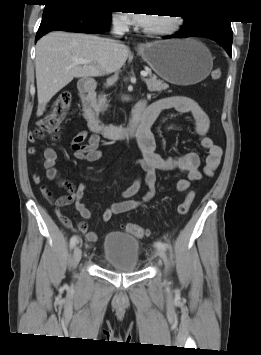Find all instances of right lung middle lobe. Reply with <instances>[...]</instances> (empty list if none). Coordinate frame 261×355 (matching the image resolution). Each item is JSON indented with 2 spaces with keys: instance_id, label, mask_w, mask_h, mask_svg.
I'll return each instance as SVG.
<instances>
[{
  "instance_id": "dd1d6c3e",
  "label": "right lung middle lobe",
  "mask_w": 261,
  "mask_h": 355,
  "mask_svg": "<svg viewBox=\"0 0 261 355\" xmlns=\"http://www.w3.org/2000/svg\"><path fill=\"white\" fill-rule=\"evenodd\" d=\"M100 1H102V0H82L81 2L91 5L93 7L99 8V9H103Z\"/></svg>"
}]
</instances>
